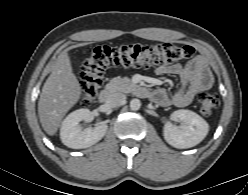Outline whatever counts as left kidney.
<instances>
[{
    "mask_svg": "<svg viewBox=\"0 0 248 195\" xmlns=\"http://www.w3.org/2000/svg\"><path fill=\"white\" fill-rule=\"evenodd\" d=\"M171 119L183 123L181 127L171 122H167L164 126V139L175 148H191L199 144L208 134V123L193 111L177 110L172 113Z\"/></svg>",
    "mask_w": 248,
    "mask_h": 195,
    "instance_id": "1",
    "label": "left kidney"
}]
</instances>
